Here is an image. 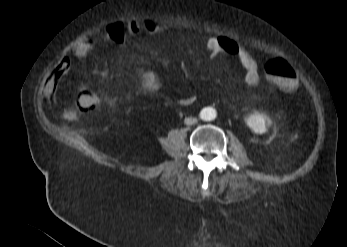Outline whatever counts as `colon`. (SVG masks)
Instances as JSON below:
<instances>
[{
  "label": "colon",
  "mask_w": 347,
  "mask_h": 247,
  "mask_svg": "<svg viewBox=\"0 0 347 247\" xmlns=\"http://www.w3.org/2000/svg\"><path fill=\"white\" fill-rule=\"evenodd\" d=\"M265 69L271 83L280 91L290 93L296 89V74L286 61H270ZM99 103V99L90 91H81L75 97V106L81 112H90L96 109Z\"/></svg>",
  "instance_id": "5ec220e1"
}]
</instances>
